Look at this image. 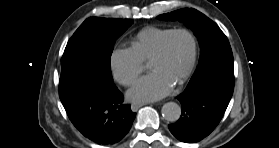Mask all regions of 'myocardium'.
I'll list each match as a JSON object with an SVG mask.
<instances>
[{
    "instance_id": "f54148a6",
    "label": "myocardium",
    "mask_w": 279,
    "mask_h": 148,
    "mask_svg": "<svg viewBox=\"0 0 279 148\" xmlns=\"http://www.w3.org/2000/svg\"><path fill=\"white\" fill-rule=\"evenodd\" d=\"M187 34L192 42H193V55H192V59L190 62V65L187 69V71L185 72V74L178 80L176 81V84L181 85L183 84L193 73L195 67H196V63H197V58H198V41L196 36L189 30L187 29H175L172 30L171 32H169L161 41L160 45L158 46L156 52L154 53V55L152 56L151 60L149 61V65L160 60L161 58H163L164 54H165V50L167 47V42L169 41V39L177 34Z\"/></svg>"
}]
</instances>
